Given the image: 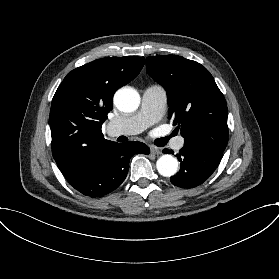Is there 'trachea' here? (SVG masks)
Here are the masks:
<instances>
[{
  "instance_id": "1",
  "label": "trachea",
  "mask_w": 279,
  "mask_h": 279,
  "mask_svg": "<svg viewBox=\"0 0 279 279\" xmlns=\"http://www.w3.org/2000/svg\"><path fill=\"white\" fill-rule=\"evenodd\" d=\"M171 138V136H168V137H164V138H161V139H157L156 140V145L158 146H164L167 144L168 140Z\"/></svg>"
}]
</instances>
